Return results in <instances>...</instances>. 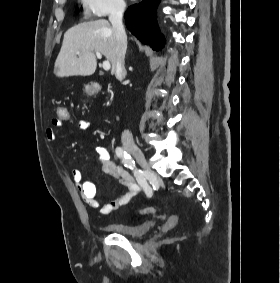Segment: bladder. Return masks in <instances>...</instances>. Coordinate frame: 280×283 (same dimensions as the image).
Here are the masks:
<instances>
[{"label":"bladder","mask_w":280,"mask_h":283,"mask_svg":"<svg viewBox=\"0 0 280 283\" xmlns=\"http://www.w3.org/2000/svg\"><path fill=\"white\" fill-rule=\"evenodd\" d=\"M155 222L147 221L140 224H129L124 222H114L106 225L105 229L113 234L136 238L150 232L155 227Z\"/></svg>","instance_id":"obj_1"}]
</instances>
